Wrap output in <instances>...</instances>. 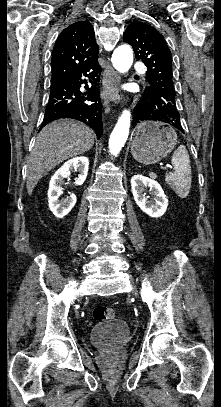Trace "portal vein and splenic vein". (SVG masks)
<instances>
[{
	"label": "portal vein and splenic vein",
	"instance_id": "18ae733b",
	"mask_svg": "<svg viewBox=\"0 0 221 407\" xmlns=\"http://www.w3.org/2000/svg\"><path fill=\"white\" fill-rule=\"evenodd\" d=\"M162 169H166V170H168V168L167 167H162ZM171 173V172H170Z\"/></svg>",
	"mask_w": 221,
	"mask_h": 407
}]
</instances>
